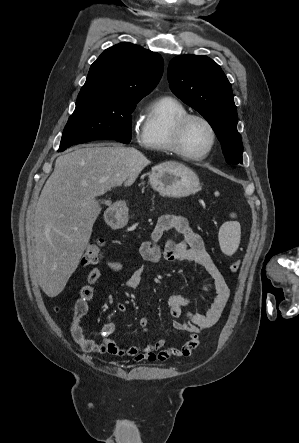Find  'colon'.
Instances as JSON below:
<instances>
[{"label": "colon", "mask_w": 299, "mask_h": 443, "mask_svg": "<svg viewBox=\"0 0 299 443\" xmlns=\"http://www.w3.org/2000/svg\"><path fill=\"white\" fill-rule=\"evenodd\" d=\"M103 246H104V243L102 240H97V241H93V242L89 243V245L87 246V248L82 256L81 264L82 265H91V264L98 262L103 255ZM239 267H240V262L238 260L233 261L229 265V269L231 272H237Z\"/></svg>", "instance_id": "1"}]
</instances>
